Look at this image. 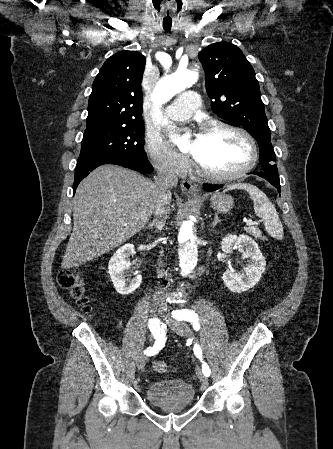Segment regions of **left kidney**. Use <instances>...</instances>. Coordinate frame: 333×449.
Listing matches in <instances>:
<instances>
[{"label":"left kidney","instance_id":"obj_1","mask_svg":"<svg viewBox=\"0 0 333 449\" xmlns=\"http://www.w3.org/2000/svg\"><path fill=\"white\" fill-rule=\"evenodd\" d=\"M225 253H232L237 248L243 257L251 259L245 268V274L239 275L233 268L226 270L222 276L225 286L232 292H243L251 289L260 280L265 270L266 261L257 243L248 235H228L221 242Z\"/></svg>","mask_w":333,"mask_h":449}]
</instances>
